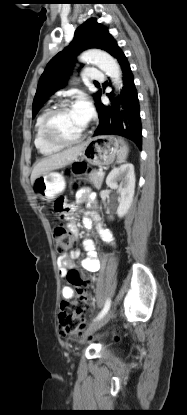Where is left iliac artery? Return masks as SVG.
Wrapping results in <instances>:
<instances>
[{
    "instance_id": "left-iliac-artery-1",
    "label": "left iliac artery",
    "mask_w": 187,
    "mask_h": 415,
    "mask_svg": "<svg viewBox=\"0 0 187 415\" xmlns=\"http://www.w3.org/2000/svg\"><path fill=\"white\" fill-rule=\"evenodd\" d=\"M110 305H111V300L107 299L106 303L104 305V308L102 309V311L98 314V316L96 317V320L101 319L110 309Z\"/></svg>"
}]
</instances>
